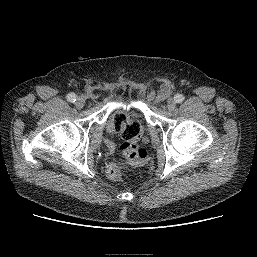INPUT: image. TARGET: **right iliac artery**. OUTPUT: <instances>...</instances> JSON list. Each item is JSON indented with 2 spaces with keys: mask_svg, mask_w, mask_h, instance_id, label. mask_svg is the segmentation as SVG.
Listing matches in <instances>:
<instances>
[{
  "mask_svg": "<svg viewBox=\"0 0 257 257\" xmlns=\"http://www.w3.org/2000/svg\"><path fill=\"white\" fill-rule=\"evenodd\" d=\"M67 100H68L69 102L74 103V102L76 101V95H75L74 93L68 94V95H67Z\"/></svg>",
  "mask_w": 257,
  "mask_h": 257,
  "instance_id": "obj_1",
  "label": "right iliac artery"
}]
</instances>
